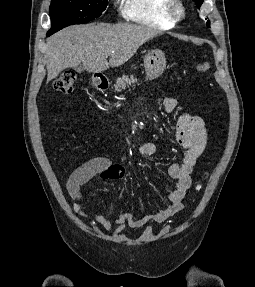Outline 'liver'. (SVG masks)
I'll return each instance as SVG.
<instances>
[{"instance_id": "6515ba94", "label": "liver", "mask_w": 255, "mask_h": 287, "mask_svg": "<svg viewBox=\"0 0 255 287\" xmlns=\"http://www.w3.org/2000/svg\"><path fill=\"white\" fill-rule=\"evenodd\" d=\"M161 32L138 24H85L69 26L48 38L45 54L47 84L62 70L80 66L87 72H104L128 62L138 48ZM114 52V54H111ZM106 56H110L109 62Z\"/></svg>"}]
</instances>
